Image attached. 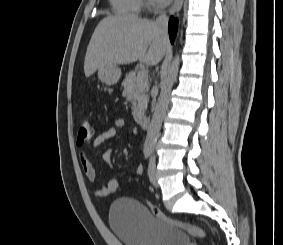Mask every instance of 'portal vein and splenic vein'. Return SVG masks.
I'll use <instances>...</instances> for the list:
<instances>
[{
  "label": "portal vein and splenic vein",
  "instance_id": "1",
  "mask_svg": "<svg viewBox=\"0 0 283 245\" xmlns=\"http://www.w3.org/2000/svg\"><path fill=\"white\" fill-rule=\"evenodd\" d=\"M138 76L142 79V78H147L148 77V73L146 70H140L138 73Z\"/></svg>",
  "mask_w": 283,
  "mask_h": 245
}]
</instances>
